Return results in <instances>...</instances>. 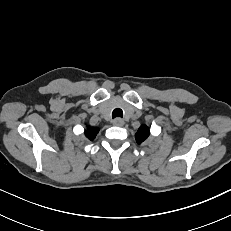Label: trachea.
<instances>
[{
	"label": "trachea",
	"instance_id": "1",
	"mask_svg": "<svg viewBox=\"0 0 231 231\" xmlns=\"http://www.w3.org/2000/svg\"><path fill=\"white\" fill-rule=\"evenodd\" d=\"M123 117V111L120 108H116L112 112V118Z\"/></svg>",
	"mask_w": 231,
	"mask_h": 231
}]
</instances>
